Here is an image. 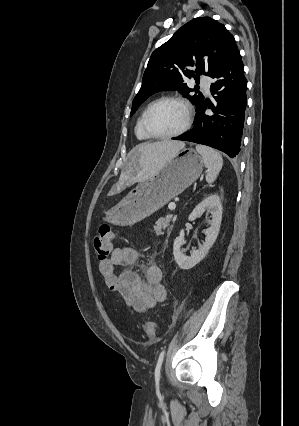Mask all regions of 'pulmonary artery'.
<instances>
[{"label": "pulmonary artery", "instance_id": "e3ab8cb5", "mask_svg": "<svg viewBox=\"0 0 299 426\" xmlns=\"http://www.w3.org/2000/svg\"><path fill=\"white\" fill-rule=\"evenodd\" d=\"M201 86L203 88V90L209 94L210 93V88H211V80L208 77H204L201 80Z\"/></svg>", "mask_w": 299, "mask_h": 426}]
</instances>
